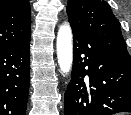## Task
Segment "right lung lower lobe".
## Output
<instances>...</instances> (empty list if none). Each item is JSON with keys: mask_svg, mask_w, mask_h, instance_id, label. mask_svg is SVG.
Instances as JSON below:
<instances>
[{"mask_svg": "<svg viewBox=\"0 0 131 115\" xmlns=\"http://www.w3.org/2000/svg\"><path fill=\"white\" fill-rule=\"evenodd\" d=\"M30 37L0 49V115H25L30 75Z\"/></svg>", "mask_w": 131, "mask_h": 115, "instance_id": "right-lung-lower-lobe-1", "label": "right lung lower lobe"}]
</instances>
